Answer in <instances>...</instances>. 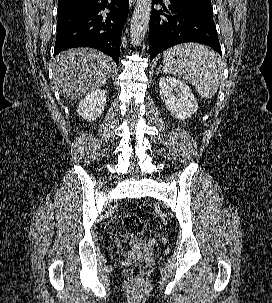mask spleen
Returning <instances> with one entry per match:
<instances>
[{"label": "spleen", "mask_w": 272, "mask_h": 303, "mask_svg": "<svg viewBox=\"0 0 272 303\" xmlns=\"http://www.w3.org/2000/svg\"><path fill=\"white\" fill-rule=\"evenodd\" d=\"M223 69L221 58L198 43L176 45L163 53V72L189 81L205 99H211L217 92Z\"/></svg>", "instance_id": "1"}]
</instances>
